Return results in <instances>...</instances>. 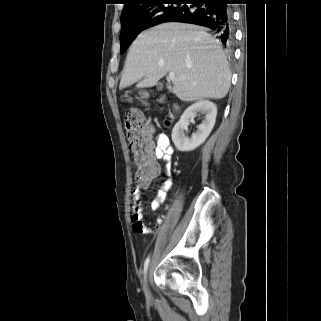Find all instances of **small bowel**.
<instances>
[{
	"label": "small bowel",
	"mask_w": 321,
	"mask_h": 321,
	"mask_svg": "<svg viewBox=\"0 0 321 321\" xmlns=\"http://www.w3.org/2000/svg\"><path fill=\"white\" fill-rule=\"evenodd\" d=\"M174 153L173 146L170 139L165 134H159L156 137V142L150 140L149 154L152 158L154 165L156 166L155 176L148 181L139 182L133 190V214L131 217L132 228L137 233H155L158 230V225L161 224L162 219L158 218L157 226H149L143 222V206L142 198L143 191L149 187L151 181L161 174V167L157 161L163 162V174L165 176L164 181L160 185L156 192V196L152 201V209H158L166 200V197L173 186L172 180V156Z\"/></svg>",
	"instance_id": "obj_1"
}]
</instances>
